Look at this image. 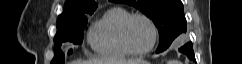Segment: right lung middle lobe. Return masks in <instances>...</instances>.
Masks as SVG:
<instances>
[{
	"instance_id": "obj_1",
	"label": "right lung middle lobe",
	"mask_w": 242,
	"mask_h": 64,
	"mask_svg": "<svg viewBox=\"0 0 242 64\" xmlns=\"http://www.w3.org/2000/svg\"><path fill=\"white\" fill-rule=\"evenodd\" d=\"M92 13L70 22L57 23V33L54 38L55 56L51 64H64L65 55L60 49L63 42L69 41L73 44H81L83 42V32L87 24V16L91 15ZM71 53L72 50L68 52V54Z\"/></svg>"
}]
</instances>
